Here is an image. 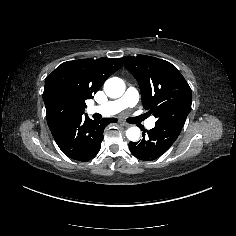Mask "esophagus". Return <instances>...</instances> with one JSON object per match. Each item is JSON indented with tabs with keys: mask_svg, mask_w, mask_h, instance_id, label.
I'll use <instances>...</instances> for the list:
<instances>
[{
	"mask_svg": "<svg viewBox=\"0 0 236 236\" xmlns=\"http://www.w3.org/2000/svg\"><path fill=\"white\" fill-rule=\"evenodd\" d=\"M119 123L123 124V125L126 126V127H129V126H130L129 123H127V122H125V121H123V120H119Z\"/></svg>",
	"mask_w": 236,
	"mask_h": 236,
	"instance_id": "34e87169",
	"label": "esophagus"
}]
</instances>
